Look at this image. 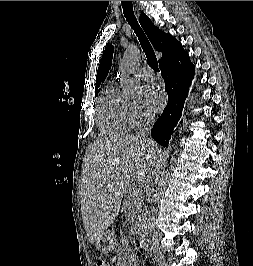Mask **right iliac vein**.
Returning <instances> with one entry per match:
<instances>
[{
	"mask_svg": "<svg viewBox=\"0 0 253 266\" xmlns=\"http://www.w3.org/2000/svg\"><path fill=\"white\" fill-rule=\"evenodd\" d=\"M156 262L158 264V266H168L167 262L165 261L163 256H157L156 257Z\"/></svg>",
	"mask_w": 253,
	"mask_h": 266,
	"instance_id": "1",
	"label": "right iliac vein"
}]
</instances>
